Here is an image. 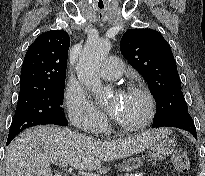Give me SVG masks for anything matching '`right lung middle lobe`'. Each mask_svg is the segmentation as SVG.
Masks as SVG:
<instances>
[{
  "label": "right lung middle lobe",
  "instance_id": "dd1d6c3e",
  "mask_svg": "<svg viewBox=\"0 0 205 176\" xmlns=\"http://www.w3.org/2000/svg\"><path fill=\"white\" fill-rule=\"evenodd\" d=\"M65 83L19 95L8 139L14 138L26 128L36 125H68L64 116L62 99Z\"/></svg>",
  "mask_w": 205,
  "mask_h": 176
}]
</instances>
